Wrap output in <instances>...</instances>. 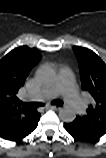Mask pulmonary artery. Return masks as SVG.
<instances>
[{
  "instance_id": "1",
  "label": "pulmonary artery",
  "mask_w": 106,
  "mask_h": 158,
  "mask_svg": "<svg viewBox=\"0 0 106 158\" xmlns=\"http://www.w3.org/2000/svg\"><path fill=\"white\" fill-rule=\"evenodd\" d=\"M66 88L69 92L71 93H74L75 92V89H74V86L72 85V83H66ZM61 92V88H54L52 91H51V94L52 95H57L58 93Z\"/></svg>"
}]
</instances>
